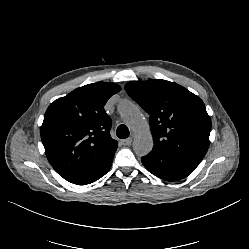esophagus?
<instances>
[{
  "instance_id": "esophagus-1",
  "label": "esophagus",
  "mask_w": 249,
  "mask_h": 249,
  "mask_svg": "<svg viewBox=\"0 0 249 249\" xmlns=\"http://www.w3.org/2000/svg\"><path fill=\"white\" fill-rule=\"evenodd\" d=\"M131 143H132V138L131 137H129V138L122 141L123 145H130Z\"/></svg>"
}]
</instances>
